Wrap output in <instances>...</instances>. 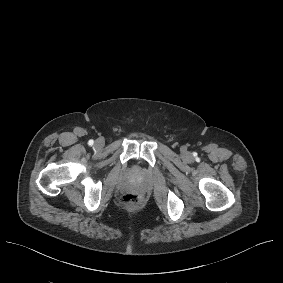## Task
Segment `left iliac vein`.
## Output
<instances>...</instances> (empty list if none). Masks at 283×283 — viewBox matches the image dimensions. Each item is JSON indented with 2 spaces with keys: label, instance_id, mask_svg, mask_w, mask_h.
<instances>
[{
  "label": "left iliac vein",
  "instance_id": "left-iliac-vein-1",
  "mask_svg": "<svg viewBox=\"0 0 283 283\" xmlns=\"http://www.w3.org/2000/svg\"><path fill=\"white\" fill-rule=\"evenodd\" d=\"M183 158H184L186 161H190V160H191V156H190V154H189L188 152H185V153L183 154Z\"/></svg>",
  "mask_w": 283,
  "mask_h": 283
}]
</instances>
